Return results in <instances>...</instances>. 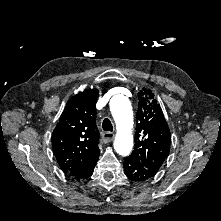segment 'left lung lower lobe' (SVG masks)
Instances as JSON below:
<instances>
[{"mask_svg": "<svg viewBox=\"0 0 221 221\" xmlns=\"http://www.w3.org/2000/svg\"><path fill=\"white\" fill-rule=\"evenodd\" d=\"M123 167L125 169V174L127 177L135 182H144L152 179L155 173L151 170L145 168L130 156L124 158Z\"/></svg>", "mask_w": 221, "mask_h": 221, "instance_id": "left-lung-lower-lobe-1", "label": "left lung lower lobe"}]
</instances>
